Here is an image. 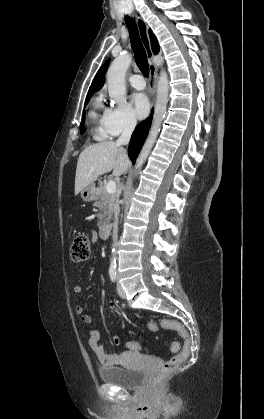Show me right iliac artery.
<instances>
[{
  "instance_id": "82829eb1",
  "label": "right iliac artery",
  "mask_w": 264,
  "mask_h": 419,
  "mask_svg": "<svg viewBox=\"0 0 264 419\" xmlns=\"http://www.w3.org/2000/svg\"><path fill=\"white\" fill-rule=\"evenodd\" d=\"M109 275H110V279L112 282H116L117 280V275H116V268L115 267H111L109 269Z\"/></svg>"
}]
</instances>
